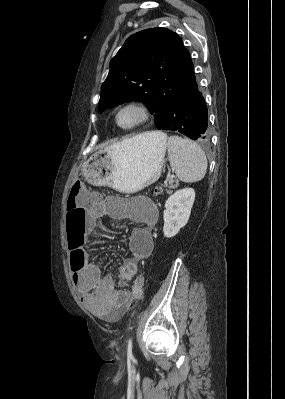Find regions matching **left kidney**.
<instances>
[{"instance_id":"1","label":"left kidney","mask_w":285,"mask_h":399,"mask_svg":"<svg viewBox=\"0 0 285 399\" xmlns=\"http://www.w3.org/2000/svg\"><path fill=\"white\" fill-rule=\"evenodd\" d=\"M194 200L195 191L192 188L177 190L167 199L163 213L165 237H174L187 224Z\"/></svg>"}]
</instances>
